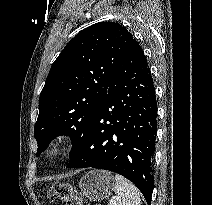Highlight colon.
I'll list each match as a JSON object with an SVG mask.
<instances>
[{
  "label": "colon",
  "instance_id": "1",
  "mask_svg": "<svg viewBox=\"0 0 212 205\" xmlns=\"http://www.w3.org/2000/svg\"><path fill=\"white\" fill-rule=\"evenodd\" d=\"M46 194L49 199L63 202L65 205H82L80 197L68 183H54L47 189Z\"/></svg>",
  "mask_w": 212,
  "mask_h": 205
}]
</instances>
